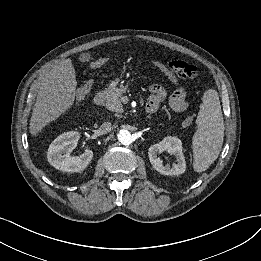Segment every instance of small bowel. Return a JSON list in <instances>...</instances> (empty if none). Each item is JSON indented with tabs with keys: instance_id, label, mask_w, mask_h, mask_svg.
Listing matches in <instances>:
<instances>
[{
	"instance_id": "c3829d8e",
	"label": "small bowel",
	"mask_w": 261,
	"mask_h": 261,
	"mask_svg": "<svg viewBox=\"0 0 261 261\" xmlns=\"http://www.w3.org/2000/svg\"><path fill=\"white\" fill-rule=\"evenodd\" d=\"M102 61L100 59H91L87 63V68L94 71L100 67ZM150 97L146 103V110L149 113H155L160 104L166 98V91L164 87L159 83H153L149 87ZM169 106L172 110L182 112L188 108L187 93L183 86H179L168 99ZM190 121L187 119L184 121L185 125H188Z\"/></svg>"
}]
</instances>
